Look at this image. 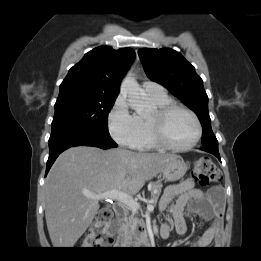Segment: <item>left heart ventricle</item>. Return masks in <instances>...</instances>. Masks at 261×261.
I'll use <instances>...</instances> for the list:
<instances>
[{
  "label": "left heart ventricle",
  "instance_id": "left-heart-ventricle-1",
  "mask_svg": "<svg viewBox=\"0 0 261 261\" xmlns=\"http://www.w3.org/2000/svg\"><path fill=\"white\" fill-rule=\"evenodd\" d=\"M166 139L177 146L189 144L196 135V126L192 117L182 111L171 112L164 122Z\"/></svg>",
  "mask_w": 261,
  "mask_h": 261
}]
</instances>
